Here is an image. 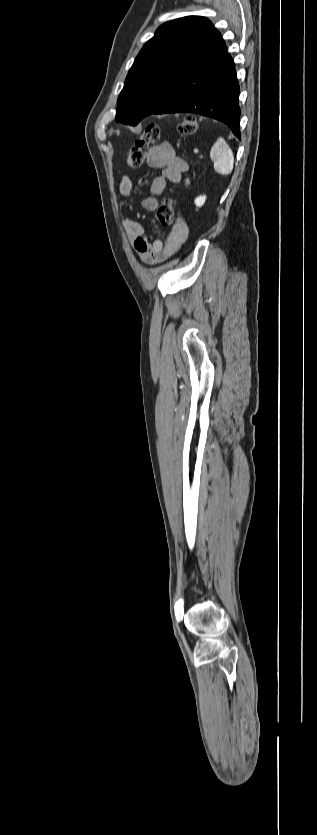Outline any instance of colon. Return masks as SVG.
I'll list each match as a JSON object with an SVG mask.
<instances>
[{"instance_id": "obj_1", "label": "colon", "mask_w": 317, "mask_h": 835, "mask_svg": "<svg viewBox=\"0 0 317 835\" xmlns=\"http://www.w3.org/2000/svg\"><path fill=\"white\" fill-rule=\"evenodd\" d=\"M179 131L184 136H191L197 133L198 124L193 116H186L179 125ZM161 136L160 127L155 124L148 125L139 138L134 142L127 152V163L131 167H140L147 158L149 148L159 141ZM190 183V178L185 179V184ZM175 205L170 197L164 198L157 208V220L162 226H170L174 222Z\"/></svg>"}]
</instances>
